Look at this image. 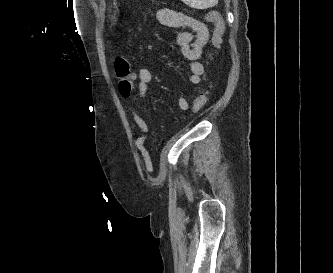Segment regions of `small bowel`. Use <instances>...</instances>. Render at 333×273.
Here are the masks:
<instances>
[{"label":"small bowel","instance_id":"obj_1","mask_svg":"<svg viewBox=\"0 0 333 273\" xmlns=\"http://www.w3.org/2000/svg\"><path fill=\"white\" fill-rule=\"evenodd\" d=\"M155 18L159 24L165 27L184 30L175 37L174 43L180 48L183 56L188 61L189 81L193 84L200 83L205 68L199 59L209 38L207 25L197 18L170 8L156 10ZM137 77L139 80L138 89L129 97V111L141 132V135L135 141L136 148L144 161L146 170L151 171L153 168L152 160L148 150L145 148L149 127L135 108L134 103L139 98L152 92L151 82L153 74L148 67H142ZM177 103L182 111H188L191 107L189 100L183 95L179 96Z\"/></svg>","mask_w":333,"mask_h":273}]
</instances>
